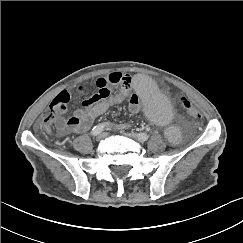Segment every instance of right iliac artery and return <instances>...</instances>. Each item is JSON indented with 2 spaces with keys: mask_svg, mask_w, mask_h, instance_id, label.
I'll list each match as a JSON object with an SVG mask.
<instances>
[{
  "mask_svg": "<svg viewBox=\"0 0 243 243\" xmlns=\"http://www.w3.org/2000/svg\"><path fill=\"white\" fill-rule=\"evenodd\" d=\"M109 125L108 123H103V124H98L96 126L93 127L92 131H91V134L96 136L98 135L99 133H101L104 128Z\"/></svg>",
  "mask_w": 243,
  "mask_h": 243,
  "instance_id": "1",
  "label": "right iliac artery"
}]
</instances>
